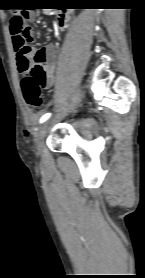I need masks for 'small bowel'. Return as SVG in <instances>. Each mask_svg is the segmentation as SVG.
I'll return each mask as SVG.
<instances>
[{
  "mask_svg": "<svg viewBox=\"0 0 145 278\" xmlns=\"http://www.w3.org/2000/svg\"><path fill=\"white\" fill-rule=\"evenodd\" d=\"M43 11L45 13H48L49 9L46 8ZM35 16H36L35 11L31 10L30 13L31 19H34ZM68 22H69V17L67 15L60 14L57 16V24L62 31H66L68 29ZM28 38L32 42H35L36 41L35 33L31 32ZM12 41H13V37H12ZM14 51H15V60L17 64V69L21 74H26L27 72H29L32 69V67L35 65L37 57H40V59L44 62V69L46 72V80L43 84V87L48 88L53 84L55 79V68H56V64H55L56 48L52 42H49L42 47L35 48V54L32 55L30 58L23 53L19 54L16 50L15 45H14Z\"/></svg>",
  "mask_w": 145,
  "mask_h": 278,
  "instance_id": "1",
  "label": "small bowel"
}]
</instances>
